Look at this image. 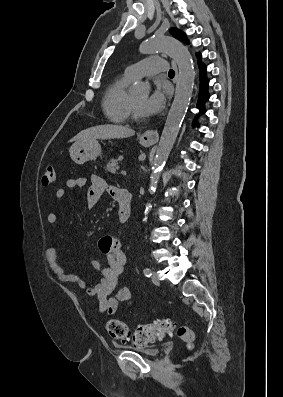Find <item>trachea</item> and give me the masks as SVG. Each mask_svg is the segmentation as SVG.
<instances>
[{"label":"trachea","mask_w":283,"mask_h":397,"mask_svg":"<svg viewBox=\"0 0 283 397\" xmlns=\"http://www.w3.org/2000/svg\"><path fill=\"white\" fill-rule=\"evenodd\" d=\"M174 74H175V73H174V70H172V69L169 70L168 75H169L170 77H174Z\"/></svg>","instance_id":"obj_1"}]
</instances>
